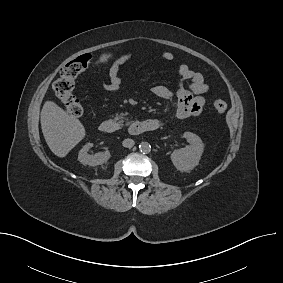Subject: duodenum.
Returning <instances> with one entry per match:
<instances>
[{
    "label": "duodenum",
    "mask_w": 283,
    "mask_h": 283,
    "mask_svg": "<svg viewBox=\"0 0 283 283\" xmlns=\"http://www.w3.org/2000/svg\"><path fill=\"white\" fill-rule=\"evenodd\" d=\"M158 127L159 122L154 119L135 121L130 125L129 133L132 135H139L155 131ZM99 130L103 133L112 134L117 131V124L114 120L106 119L99 124Z\"/></svg>",
    "instance_id": "obj_1"
}]
</instances>
